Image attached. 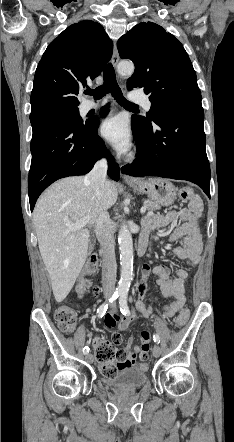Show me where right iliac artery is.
I'll return each mask as SVG.
<instances>
[{
  "instance_id": "right-iliac-artery-1",
  "label": "right iliac artery",
  "mask_w": 234,
  "mask_h": 442,
  "mask_svg": "<svg viewBox=\"0 0 234 442\" xmlns=\"http://www.w3.org/2000/svg\"><path fill=\"white\" fill-rule=\"evenodd\" d=\"M119 295H120V294H119L118 292H115V293L112 295V297L109 299L108 302L103 303V304L98 308V310H97L98 317H101V318H102V317L104 316V314H105L106 311H107L108 304H109V303H112L114 300H116V299L118 298ZM88 352H89V347L85 346V347L83 348V353H84V354H87Z\"/></svg>"
}]
</instances>
